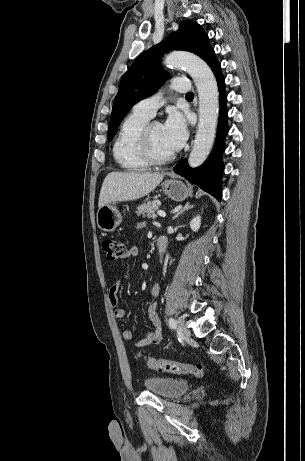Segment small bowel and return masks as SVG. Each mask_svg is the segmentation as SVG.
<instances>
[{
	"mask_svg": "<svg viewBox=\"0 0 305 461\" xmlns=\"http://www.w3.org/2000/svg\"><path fill=\"white\" fill-rule=\"evenodd\" d=\"M139 249L137 246L129 247L120 258L121 260H128L137 257ZM125 278H119L109 290V302L112 306L114 316L116 318H124L126 310L119 306L117 293L122 286ZM161 287L159 283L152 286L150 291V304L148 307V317L151 322V329L140 339L134 340V332L131 329H126L123 332V338L126 341H134L136 347L141 348L148 345H158L163 341L162 326L158 315L157 297L160 295Z\"/></svg>",
	"mask_w": 305,
	"mask_h": 461,
	"instance_id": "c3829d8e",
	"label": "small bowel"
}]
</instances>
